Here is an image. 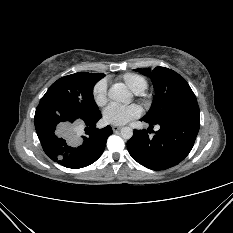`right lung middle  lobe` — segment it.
I'll list each match as a JSON object with an SVG mask.
<instances>
[{"mask_svg":"<svg viewBox=\"0 0 233 233\" xmlns=\"http://www.w3.org/2000/svg\"><path fill=\"white\" fill-rule=\"evenodd\" d=\"M102 77L96 73H75L58 79L47 90L40 104H51L75 118H89L100 113L93 87Z\"/></svg>","mask_w":233,"mask_h":233,"instance_id":"1","label":"right lung middle lobe"}]
</instances>
